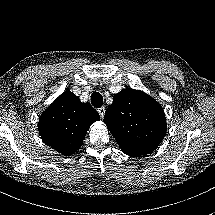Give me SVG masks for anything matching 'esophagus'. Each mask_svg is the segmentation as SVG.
Returning a JSON list of instances; mask_svg holds the SVG:
<instances>
[{
	"label": "esophagus",
	"mask_w": 215,
	"mask_h": 215,
	"mask_svg": "<svg viewBox=\"0 0 215 215\" xmlns=\"http://www.w3.org/2000/svg\"><path fill=\"white\" fill-rule=\"evenodd\" d=\"M98 113H99V115H100V117H104V115H105V111H106V109H105V107L104 106H102V107H100L98 110Z\"/></svg>",
	"instance_id": "34e87169"
}]
</instances>
